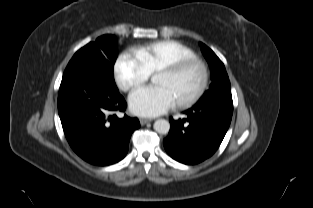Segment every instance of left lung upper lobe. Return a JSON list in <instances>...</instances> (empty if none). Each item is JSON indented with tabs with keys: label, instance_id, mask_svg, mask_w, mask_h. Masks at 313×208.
<instances>
[{
	"label": "left lung upper lobe",
	"instance_id": "left-lung-upper-lobe-1",
	"mask_svg": "<svg viewBox=\"0 0 313 208\" xmlns=\"http://www.w3.org/2000/svg\"><path fill=\"white\" fill-rule=\"evenodd\" d=\"M200 47L204 57L209 63L212 83L210 84L209 90L206 91L198 102L212 98L232 99L231 85L224 64L206 45L200 43Z\"/></svg>",
	"mask_w": 313,
	"mask_h": 208
}]
</instances>
